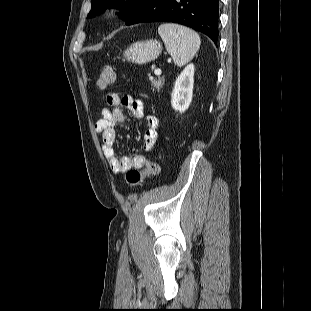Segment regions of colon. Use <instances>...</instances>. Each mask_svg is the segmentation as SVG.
Returning <instances> with one entry per match:
<instances>
[{
	"mask_svg": "<svg viewBox=\"0 0 311 311\" xmlns=\"http://www.w3.org/2000/svg\"><path fill=\"white\" fill-rule=\"evenodd\" d=\"M116 81V73L111 66H105L101 69L98 78V87L107 89ZM159 164L154 160H149L141 170L131 169L126 173V182L131 187H136L141 182L150 176H155L159 173Z\"/></svg>",
	"mask_w": 311,
	"mask_h": 311,
	"instance_id": "1",
	"label": "colon"
}]
</instances>
